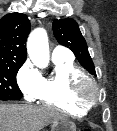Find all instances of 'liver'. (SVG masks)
<instances>
[{
  "label": "liver",
  "mask_w": 117,
  "mask_h": 131,
  "mask_svg": "<svg viewBox=\"0 0 117 131\" xmlns=\"http://www.w3.org/2000/svg\"><path fill=\"white\" fill-rule=\"evenodd\" d=\"M65 116L55 108L27 104H0V131H40Z\"/></svg>",
  "instance_id": "1"
}]
</instances>
